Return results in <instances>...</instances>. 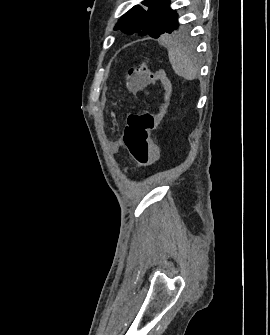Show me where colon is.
Masks as SVG:
<instances>
[{
  "label": "colon",
  "mask_w": 270,
  "mask_h": 335,
  "mask_svg": "<svg viewBox=\"0 0 270 335\" xmlns=\"http://www.w3.org/2000/svg\"><path fill=\"white\" fill-rule=\"evenodd\" d=\"M153 63H158V58H153ZM154 75L146 63L140 64L136 68H129L126 73L127 85L133 92H141L148 85L158 79V84H165V79H173V72H160V68H155ZM172 93L165 90L162 94L161 102L155 103L156 109H172ZM164 110L152 112L144 109L131 112L127 118L122 139L131 158L141 166H149L151 163H162V149L156 148L157 142L150 141V132L157 126V119H163Z\"/></svg>",
  "instance_id": "colon-1"
}]
</instances>
